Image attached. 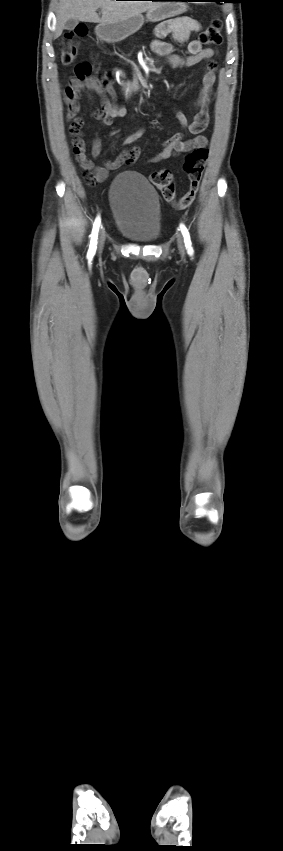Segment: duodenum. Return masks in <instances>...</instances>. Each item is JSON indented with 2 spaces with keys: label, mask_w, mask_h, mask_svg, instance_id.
Listing matches in <instances>:
<instances>
[{
  "label": "duodenum",
  "mask_w": 283,
  "mask_h": 851,
  "mask_svg": "<svg viewBox=\"0 0 283 851\" xmlns=\"http://www.w3.org/2000/svg\"><path fill=\"white\" fill-rule=\"evenodd\" d=\"M145 83H146V79L143 78V77L142 78H134V79L129 80L128 82H126L124 84L123 90L126 93H130V92L139 90L141 87H143L145 85Z\"/></svg>",
  "instance_id": "410a0bca"
}]
</instances>
